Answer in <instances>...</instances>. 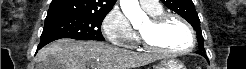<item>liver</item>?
<instances>
[{
    "label": "liver",
    "mask_w": 246,
    "mask_h": 69,
    "mask_svg": "<svg viewBox=\"0 0 246 69\" xmlns=\"http://www.w3.org/2000/svg\"><path fill=\"white\" fill-rule=\"evenodd\" d=\"M49 55L64 69H131L159 59L154 54H140L100 41L59 39L38 52L37 67H42Z\"/></svg>",
    "instance_id": "6515ba94"
}]
</instances>
